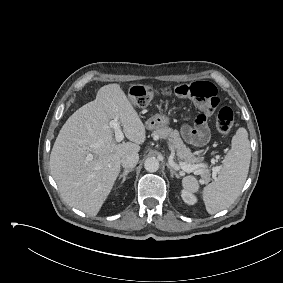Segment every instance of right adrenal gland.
Instances as JSON below:
<instances>
[{
  "instance_id": "2a0ac1e0",
  "label": "right adrenal gland",
  "mask_w": 283,
  "mask_h": 283,
  "mask_svg": "<svg viewBox=\"0 0 283 283\" xmlns=\"http://www.w3.org/2000/svg\"><path fill=\"white\" fill-rule=\"evenodd\" d=\"M132 171H134L133 168L124 170V172L119 176V180L122 178L121 184L125 182L127 174Z\"/></svg>"
}]
</instances>
